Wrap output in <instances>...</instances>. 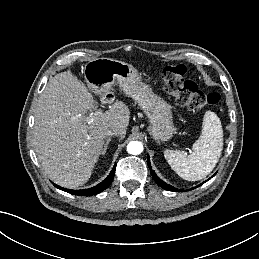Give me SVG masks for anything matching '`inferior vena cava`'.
I'll use <instances>...</instances> for the list:
<instances>
[{
	"instance_id": "obj_1",
	"label": "inferior vena cava",
	"mask_w": 259,
	"mask_h": 259,
	"mask_svg": "<svg viewBox=\"0 0 259 259\" xmlns=\"http://www.w3.org/2000/svg\"><path fill=\"white\" fill-rule=\"evenodd\" d=\"M106 136H119L121 134V131L119 128H116V127H113V128H110L108 129L106 132H105Z\"/></svg>"
}]
</instances>
